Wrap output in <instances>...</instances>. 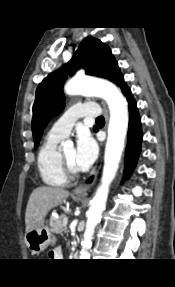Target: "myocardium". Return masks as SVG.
I'll list each match as a JSON object with an SVG mask.
<instances>
[{
  "label": "myocardium",
  "mask_w": 175,
  "mask_h": 287,
  "mask_svg": "<svg viewBox=\"0 0 175 287\" xmlns=\"http://www.w3.org/2000/svg\"><path fill=\"white\" fill-rule=\"evenodd\" d=\"M59 157H60V162H61L62 168H63L65 174L67 175V177H70V178L77 177L80 173V169L73 167L69 163V161L67 160V158L65 157V155L62 151H60Z\"/></svg>",
  "instance_id": "myocardium-1"
}]
</instances>
